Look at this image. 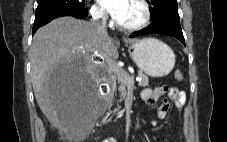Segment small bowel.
I'll use <instances>...</instances> for the list:
<instances>
[{"mask_svg":"<svg viewBox=\"0 0 227 142\" xmlns=\"http://www.w3.org/2000/svg\"><path fill=\"white\" fill-rule=\"evenodd\" d=\"M168 94L169 98L172 99L175 104L181 108L186 101V95L183 91L175 87L159 86L154 89L145 88L141 92V98L149 105H154L158 101V98L162 95ZM169 103L165 100L157 111V117L160 120H165L168 115ZM156 121L152 122L155 125ZM102 142H117L114 138L104 139Z\"/></svg>","mask_w":227,"mask_h":142,"instance_id":"obj_1","label":"small bowel"}]
</instances>
